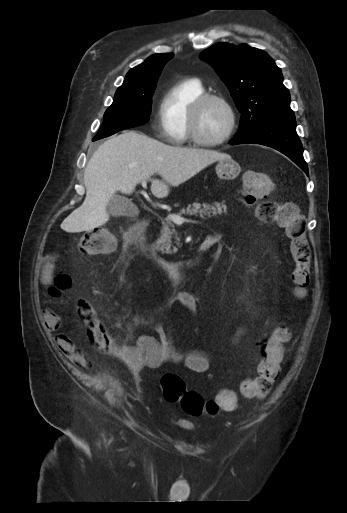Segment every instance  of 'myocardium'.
Instances as JSON below:
<instances>
[{
	"label": "myocardium",
	"mask_w": 347,
	"mask_h": 513,
	"mask_svg": "<svg viewBox=\"0 0 347 513\" xmlns=\"http://www.w3.org/2000/svg\"><path fill=\"white\" fill-rule=\"evenodd\" d=\"M210 101H216V102L222 104L226 108V110L229 114V124H228L227 130L223 136H221L220 138H218L216 140L204 139L199 134V129H198L201 110ZM236 125H237V115H236V111H235L233 105L226 97H224L223 95H220V94L204 93V94L200 95L193 101V103L191 104L189 111H188L187 127H188L189 140L197 145H200V146L216 147V146L224 144L233 135Z\"/></svg>",
	"instance_id": "obj_1"
}]
</instances>
